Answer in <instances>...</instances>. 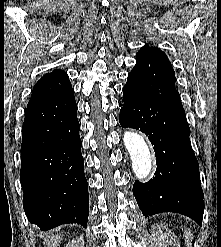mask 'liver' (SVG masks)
I'll use <instances>...</instances> for the list:
<instances>
[{"mask_svg":"<svg viewBox=\"0 0 221 247\" xmlns=\"http://www.w3.org/2000/svg\"><path fill=\"white\" fill-rule=\"evenodd\" d=\"M62 240H63L62 236L57 234L56 236H53L48 240V245L51 247H57Z\"/></svg>","mask_w":221,"mask_h":247,"instance_id":"1","label":"liver"}]
</instances>
